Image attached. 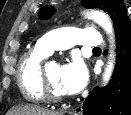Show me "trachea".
Here are the masks:
<instances>
[{
  "label": "trachea",
  "instance_id": "3493384b",
  "mask_svg": "<svg viewBox=\"0 0 131 115\" xmlns=\"http://www.w3.org/2000/svg\"><path fill=\"white\" fill-rule=\"evenodd\" d=\"M93 50H101L99 47H95L93 48Z\"/></svg>",
  "mask_w": 131,
  "mask_h": 115
}]
</instances>
